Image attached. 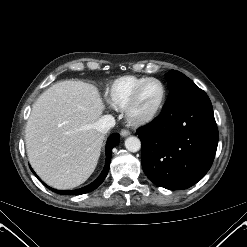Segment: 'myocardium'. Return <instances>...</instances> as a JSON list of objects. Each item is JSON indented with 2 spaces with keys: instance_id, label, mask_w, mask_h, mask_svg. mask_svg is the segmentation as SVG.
Segmentation results:
<instances>
[{
  "instance_id": "obj_1",
  "label": "myocardium",
  "mask_w": 247,
  "mask_h": 247,
  "mask_svg": "<svg viewBox=\"0 0 247 247\" xmlns=\"http://www.w3.org/2000/svg\"><path fill=\"white\" fill-rule=\"evenodd\" d=\"M150 82H157L162 87L161 100H160L157 108L152 113H150L146 116H143V117H137L132 113L133 106L135 105L142 89ZM166 99H167V88H166L165 84L158 78H154V77L147 78L146 80L141 82L139 85H137V87L133 90L132 94L130 95V97H129L128 101L126 102L125 107L123 109L124 114H125L127 120L133 124L142 125V124L150 123L154 119H156L158 117V115L161 113V111L165 105Z\"/></svg>"
}]
</instances>
